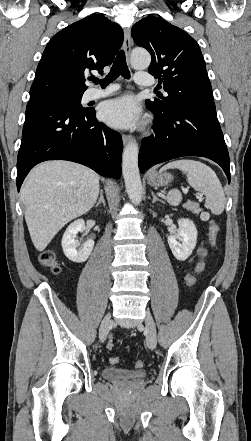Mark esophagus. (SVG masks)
Wrapping results in <instances>:
<instances>
[{
  "label": "esophagus",
  "instance_id": "1",
  "mask_svg": "<svg viewBox=\"0 0 251 441\" xmlns=\"http://www.w3.org/2000/svg\"><path fill=\"white\" fill-rule=\"evenodd\" d=\"M131 46H132V41H131L130 29L126 28L124 31V51H125L127 58H129V55H130ZM122 140H123V143L126 145L132 141V137L130 135L123 134Z\"/></svg>",
  "mask_w": 251,
  "mask_h": 441
}]
</instances>
